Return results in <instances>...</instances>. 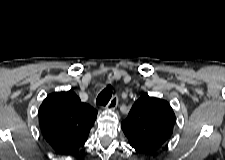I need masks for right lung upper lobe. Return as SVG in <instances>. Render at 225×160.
Returning a JSON list of instances; mask_svg holds the SVG:
<instances>
[{"label": "right lung upper lobe", "instance_id": "cb5924a9", "mask_svg": "<svg viewBox=\"0 0 225 160\" xmlns=\"http://www.w3.org/2000/svg\"><path fill=\"white\" fill-rule=\"evenodd\" d=\"M96 116L97 111L82 103L72 90L48 95L39 108L44 139L63 155L84 146Z\"/></svg>", "mask_w": 225, "mask_h": 160}]
</instances>
